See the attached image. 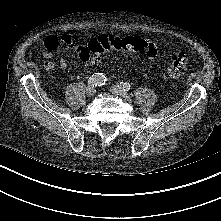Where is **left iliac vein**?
<instances>
[{"instance_id": "left-iliac-vein-1", "label": "left iliac vein", "mask_w": 221, "mask_h": 221, "mask_svg": "<svg viewBox=\"0 0 221 221\" xmlns=\"http://www.w3.org/2000/svg\"><path fill=\"white\" fill-rule=\"evenodd\" d=\"M110 90L113 94H116V95H118L122 98H128L129 97L128 93L126 91H124L123 88L119 85H115V86L111 87Z\"/></svg>"}]
</instances>
